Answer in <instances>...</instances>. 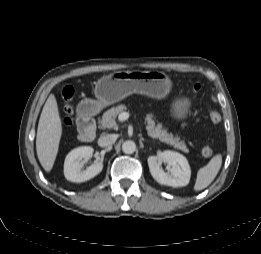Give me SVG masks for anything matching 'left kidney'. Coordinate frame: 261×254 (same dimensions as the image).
I'll use <instances>...</instances> for the list:
<instances>
[{"instance_id":"5707ae66","label":"left kidney","mask_w":261,"mask_h":254,"mask_svg":"<svg viewBox=\"0 0 261 254\" xmlns=\"http://www.w3.org/2000/svg\"><path fill=\"white\" fill-rule=\"evenodd\" d=\"M148 166L152 177L161 185L183 187L188 185L191 169L187 159L170 150L163 151L159 156H149ZM168 165L169 172H165L161 164Z\"/></svg>"}]
</instances>
